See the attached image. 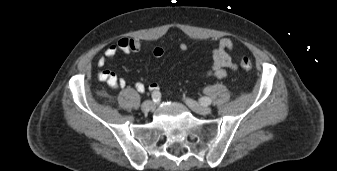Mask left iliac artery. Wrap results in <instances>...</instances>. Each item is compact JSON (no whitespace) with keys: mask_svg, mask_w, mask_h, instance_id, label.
I'll list each match as a JSON object with an SVG mask.
<instances>
[{"mask_svg":"<svg viewBox=\"0 0 337 171\" xmlns=\"http://www.w3.org/2000/svg\"><path fill=\"white\" fill-rule=\"evenodd\" d=\"M200 102H201L202 105H210L212 100L208 97H202L200 99Z\"/></svg>","mask_w":337,"mask_h":171,"instance_id":"1","label":"left iliac artery"}]
</instances>
